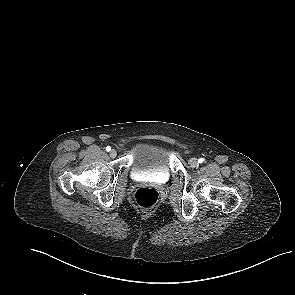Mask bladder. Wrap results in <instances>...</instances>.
<instances>
[{"mask_svg": "<svg viewBox=\"0 0 295 295\" xmlns=\"http://www.w3.org/2000/svg\"><path fill=\"white\" fill-rule=\"evenodd\" d=\"M131 169L135 175L168 180L171 175L170 150L160 143H142L135 150Z\"/></svg>", "mask_w": 295, "mask_h": 295, "instance_id": "bladder-1", "label": "bladder"}]
</instances>
